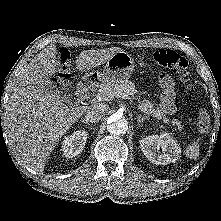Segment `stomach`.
<instances>
[{"label":"stomach","instance_id":"stomach-1","mask_svg":"<svg viewBox=\"0 0 221 221\" xmlns=\"http://www.w3.org/2000/svg\"><path fill=\"white\" fill-rule=\"evenodd\" d=\"M135 68L134 59L124 51L116 52L107 62L103 72L92 73L93 78L101 86L107 83H122L127 81Z\"/></svg>","mask_w":221,"mask_h":221}]
</instances>
